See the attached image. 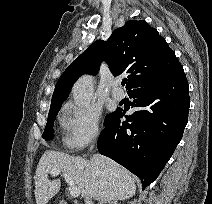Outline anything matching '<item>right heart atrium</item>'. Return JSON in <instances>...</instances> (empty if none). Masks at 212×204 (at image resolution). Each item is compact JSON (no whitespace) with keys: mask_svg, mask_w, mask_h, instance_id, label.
<instances>
[{"mask_svg":"<svg viewBox=\"0 0 212 204\" xmlns=\"http://www.w3.org/2000/svg\"><path fill=\"white\" fill-rule=\"evenodd\" d=\"M101 114L93 106L67 103L63 109L64 143L70 150H80L100 134Z\"/></svg>","mask_w":212,"mask_h":204,"instance_id":"d8ad5b80","label":"right heart atrium"}]
</instances>
